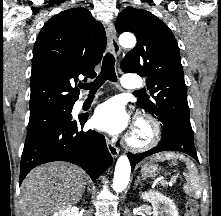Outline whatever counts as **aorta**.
I'll return each mask as SVG.
<instances>
[{
    "label": "aorta",
    "mask_w": 221,
    "mask_h": 216,
    "mask_svg": "<svg viewBox=\"0 0 221 216\" xmlns=\"http://www.w3.org/2000/svg\"><path fill=\"white\" fill-rule=\"evenodd\" d=\"M119 43L124 48H133L136 44V38L130 33L122 34L119 37ZM131 173V166L127 156L122 155L118 158L114 178H113V190L115 192H122L128 185Z\"/></svg>",
    "instance_id": "1"
}]
</instances>
